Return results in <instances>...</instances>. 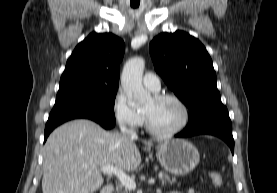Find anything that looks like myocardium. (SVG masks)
<instances>
[{"instance_id":"f54148a6","label":"myocardium","mask_w":277,"mask_h":193,"mask_svg":"<svg viewBox=\"0 0 277 193\" xmlns=\"http://www.w3.org/2000/svg\"><path fill=\"white\" fill-rule=\"evenodd\" d=\"M153 99L155 101H162L165 99H170V100L175 101L181 107V109L183 111V119H182V122L180 123V125L177 126L176 128L169 130V131H162V130L157 129L152 124L148 114L145 111H142L146 128L152 135H155L158 137H173V136L179 134L181 131H183L186 128V126L189 123L190 112H189V108H188L187 104L178 95L173 94V93H158L153 96Z\"/></svg>"}]
</instances>
